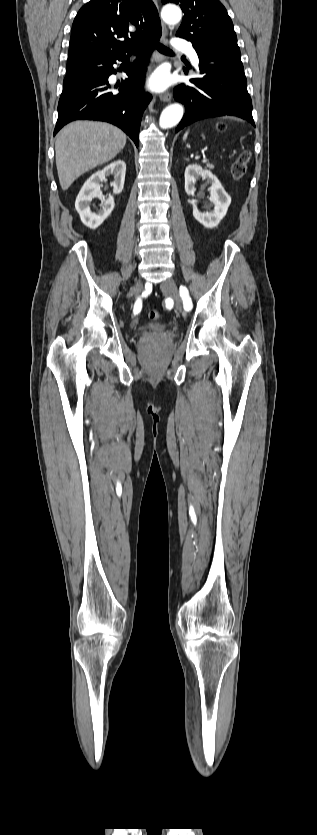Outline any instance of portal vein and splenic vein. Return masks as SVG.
<instances>
[{"label": "portal vein and splenic vein", "mask_w": 317, "mask_h": 835, "mask_svg": "<svg viewBox=\"0 0 317 835\" xmlns=\"http://www.w3.org/2000/svg\"><path fill=\"white\" fill-rule=\"evenodd\" d=\"M203 160H204V161H207L205 157H203Z\"/></svg>", "instance_id": "1"}]
</instances>
